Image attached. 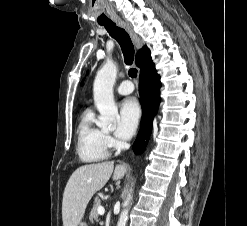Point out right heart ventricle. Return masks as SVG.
<instances>
[{
    "label": "right heart ventricle",
    "instance_id": "1",
    "mask_svg": "<svg viewBox=\"0 0 247 226\" xmlns=\"http://www.w3.org/2000/svg\"><path fill=\"white\" fill-rule=\"evenodd\" d=\"M77 153L81 161L93 163L109 156L106 134L94 122L91 110H86L77 128Z\"/></svg>",
    "mask_w": 247,
    "mask_h": 226
}]
</instances>
